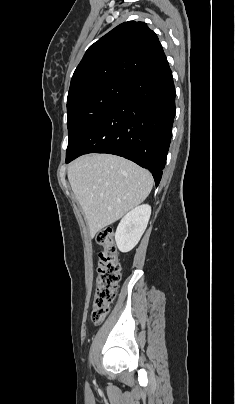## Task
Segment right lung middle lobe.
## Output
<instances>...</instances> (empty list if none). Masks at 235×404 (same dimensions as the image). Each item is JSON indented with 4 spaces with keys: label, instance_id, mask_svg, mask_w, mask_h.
Instances as JSON below:
<instances>
[{
    "label": "right lung middle lobe",
    "instance_id": "dd1d6c3e",
    "mask_svg": "<svg viewBox=\"0 0 235 404\" xmlns=\"http://www.w3.org/2000/svg\"><path fill=\"white\" fill-rule=\"evenodd\" d=\"M124 82H106L83 89L67 100L69 142L66 156L79 145L85 134L120 99Z\"/></svg>",
    "mask_w": 235,
    "mask_h": 404
}]
</instances>
